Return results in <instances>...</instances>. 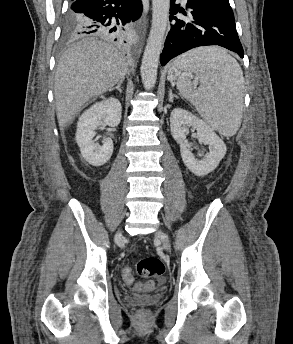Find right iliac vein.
<instances>
[{
	"label": "right iliac vein",
	"instance_id": "1",
	"mask_svg": "<svg viewBox=\"0 0 293 344\" xmlns=\"http://www.w3.org/2000/svg\"><path fill=\"white\" fill-rule=\"evenodd\" d=\"M120 236H121V233H118V234H117V238H119Z\"/></svg>",
	"mask_w": 293,
	"mask_h": 344
}]
</instances>
